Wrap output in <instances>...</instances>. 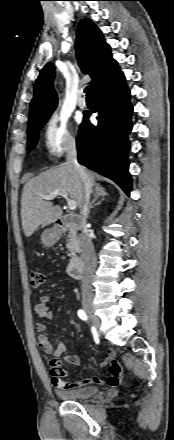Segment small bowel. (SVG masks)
Returning <instances> with one entry per match:
<instances>
[{"instance_id": "obj_1", "label": "small bowel", "mask_w": 174, "mask_h": 440, "mask_svg": "<svg viewBox=\"0 0 174 440\" xmlns=\"http://www.w3.org/2000/svg\"><path fill=\"white\" fill-rule=\"evenodd\" d=\"M51 297L48 295H43L40 299V303L36 306L35 312L37 316L44 320H51L53 317V312L50 308ZM45 322H38L36 324V330L39 333L38 342L41 349L51 357H58L62 355L66 346L64 343H59L54 347L50 341V338L45 333L46 331ZM64 361L79 365L80 359L77 355L67 354L64 356ZM103 365H109V377L106 380L107 384L111 387H116L119 384L121 369L119 364L115 360V353L112 350L107 351L106 359L102 362ZM52 382L56 387L64 389H77L84 387L89 384H102L104 380L100 377L93 376L83 380L77 381H67L68 373L64 368L62 362L58 359H53L50 361Z\"/></svg>"}]
</instances>
